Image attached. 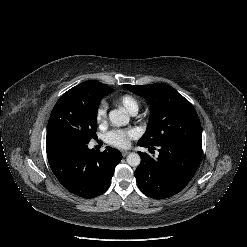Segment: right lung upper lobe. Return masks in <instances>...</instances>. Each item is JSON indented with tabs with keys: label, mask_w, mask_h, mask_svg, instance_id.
I'll return each instance as SVG.
<instances>
[{
	"label": "right lung upper lobe",
	"mask_w": 247,
	"mask_h": 247,
	"mask_svg": "<svg viewBox=\"0 0 247 247\" xmlns=\"http://www.w3.org/2000/svg\"><path fill=\"white\" fill-rule=\"evenodd\" d=\"M107 88L108 86L103 85L102 83L98 81L90 80V81L83 82L73 87L70 90L76 91L79 93H103V92H106Z\"/></svg>",
	"instance_id": "1"
}]
</instances>
